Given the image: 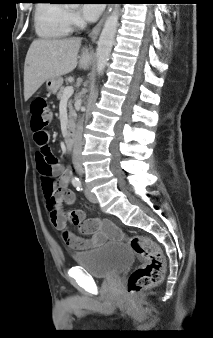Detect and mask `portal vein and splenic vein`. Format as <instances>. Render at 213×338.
Listing matches in <instances>:
<instances>
[{
  "mask_svg": "<svg viewBox=\"0 0 213 338\" xmlns=\"http://www.w3.org/2000/svg\"><path fill=\"white\" fill-rule=\"evenodd\" d=\"M74 92V89L72 86H68L64 89V93H63V96H62V99H68L72 96Z\"/></svg>",
  "mask_w": 213,
  "mask_h": 338,
  "instance_id": "obj_1",
  "label": "portal vein and splenic vein"
}]
</instances>
